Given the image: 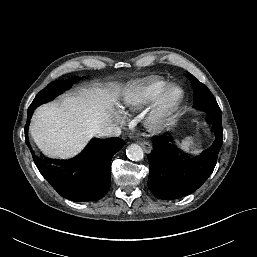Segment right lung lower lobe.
Here are the masks:
<instances>
[{"instance_id": "98d812e1", "label": "right lung lower lobe", "mask_w": 257, "mask_h": 257, "mask_svg": "<svg viewBox=\"0 0 257 257\" xmlns=\"http://www.w3.org/2000/svg\"><path fill=\"white\" fill-rule=\"evenodd\" d=\"M32 112L28 111V119ZM28 125L29 121L25 127L27 144ZM123 145L124 141L120 138H93L75 160L62 163L44 160L31 152L40 173L62 197L86 202L99 200L108 192L110 162Z\"/></svg>"}]
</instances>
